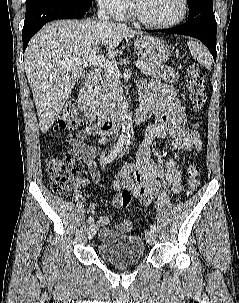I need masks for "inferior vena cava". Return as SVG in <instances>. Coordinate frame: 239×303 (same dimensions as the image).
<instances>
[{"mask_svg": "<svg viewBox=\"0 0 239 303\" xmlns=\"http://www.w3.org/2000/svg\"><path fill=\"white\" fill-rule=\"evenodd\" d=\"M98 19L102 21H109V16L106 11V7L104 5H100L98 12H97Z\"/></svg>", "mask_w": 239, "mask_h": 303, "instance_id": "inferior-vena-cava-1", "label": "inferior vena cava"}]
</instances>
